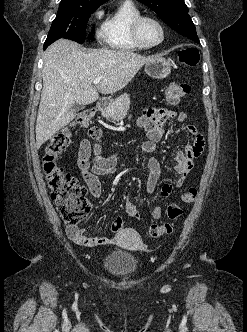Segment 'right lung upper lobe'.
<instances>
[{
    "label": "right lung upper lobe",
    "mask_w": 247,
    "mask_h": 332,
    "mask_svg": "<svg viewBox=\"0 0 247 332\" xmlns=\"http://www.w3.org/2000/svg\"><path fill=\"white\" fill-rule=\"evenodd\" d=\"M64 1H81V2H92V3H100L103 4L108 0H64Z\"/></svg>",
    "instance_id": "obj_1"
}]
</instances>
